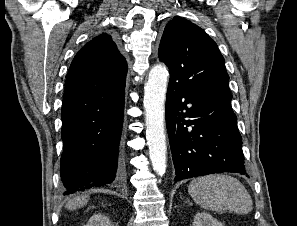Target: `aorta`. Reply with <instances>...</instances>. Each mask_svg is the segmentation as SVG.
I'll return each instance as SVG.
<instances>
[{
  "label": "aorta",
  "mask_w": 297,
  "mask_h": 226,
  "mask_svg": "<svg viewBox=\"0 0 297 226\" xmlns=\"http://www.w3.org/2000/svg\"><path fill=\"white\" fill-rule=\"evenodd\" d=\"M168 71L163 65L154 66L144 87L146 139L154 171L162 176L166 171V136L164 127L165 97Z\"/></svg>",
  "instance_id": "obj_1"
}]
</instances>
